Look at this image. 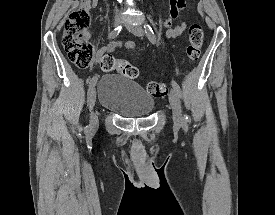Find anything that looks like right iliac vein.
<instances>
[{
  "label": "right iliac vein",
  "instance_id": "1",
  "mask_svg": "<svg viewBox=\"0 0 275 215\" xmlns=\"http://www.w3.org/2000/svg\"><path fill=\"white\" fill-rule=\"evenodd\" d=\"M120 23H121V18L115 17L114 25L117 26ZM88 102H89V109H90V124L95 127L98 124V117H97V114L93 110L95 102H96V89L94 86L89 91Z\"/></svg>",
  "mask_w": 275,
  "mask_h": 215
}]
</instances>
